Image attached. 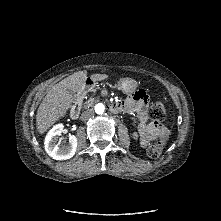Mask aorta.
I'll return each instance as SVG.
<instances>
[{"label": "aorta", "instance_id": "obj_1", "mask_svg": "<svg viewBox=\"0 0 221 221\" xmlns=\"http://www.w3.org/2000/svg\"><path fill=\"white\" fill-rule=\"evenodd\" d=\"M104 111H105V106H104L102 103L96 104V106H95V112H96L97 114H103Z\"/></svg>", "mask_w": 221, "mask_h": 221}]
</instances>
